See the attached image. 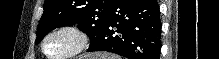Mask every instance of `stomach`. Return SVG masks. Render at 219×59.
Returning <instances> with one entry per match:
<instances>
[{
    "label": "stomach",
    "mask_w": 219,
    "mask_h": 59,
    "mask_svg": "<svg viewBox=\"0 0 219 59\" xmlns=\"http://www.w3.org/2000/svg\"><path fill=\"white\" fill-rule=\"evenodd\" d=\"M93 57H96V58H99V59H111L108 55H94Z\"/></svg>",
    "instance_id": "stomach-1"
}]
</instances>
